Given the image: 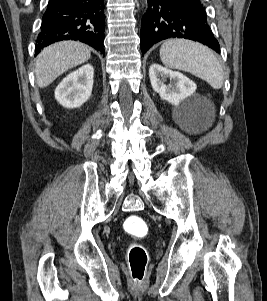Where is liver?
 <instances>
[{
  "label": "liver",
  "instance_id": "liver-1",
  "mask_svg": "<svg viewBox=\"0 0 267 301\" xmlns=\"http://www.w3.org/2000/svg\"><path fill=\"white\" fill-rule=\"evenodd\" d=\"M88 47L77 41H62L44 48L35 62V76L40 88L49 86L57 77L90 59Z\"/></svg>",
  "mask_w": 267,
  "mask_h": 301
}]
</instances>
